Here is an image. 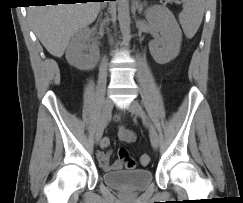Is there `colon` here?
<instances>
[{
  "label": "colon",
  "instance_id": "obj_1",
  "mask_svg": "<svg viewBox=\"0 0 243 203\" xmlns=\"http://www.w3.org/2000/svg\"><path fill=\"white\" fill-rule=\"evenodd\" d=\"M119 158L124 162L127 169H134L136 167V161L129 156L128 150L124 147H120L118 150ZM140 163L142 165H148L150 163V156L144 154L140 157Z\"/></svg>",
  "mask_w": 243,
  "mask_h": 203
}]
</instances>
